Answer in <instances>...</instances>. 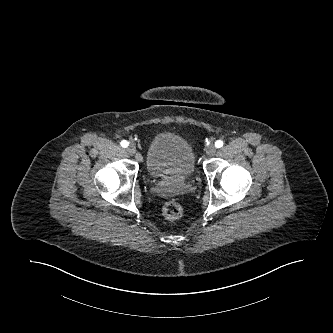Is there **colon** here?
Instances as JSON below:
<instances>
[{
  "label": "colon",
  "mask_w": 333,
  "mask_h": 333,
  "mask_svg": "<svg viewBox=\"0 0 333 333\" xmlns=\"http://www.w3.org/2000/svg\"><path fill=\"white\" fill-rule=\"evenodd\" d=\"M182 213V207L175 201H168L163 206V214L169 220L175 221L180 219Z\"/></svg>",
  "instance_id": "5ec220e1"
}]
</instances>
